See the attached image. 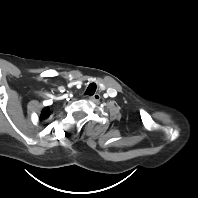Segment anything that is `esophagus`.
Returning a JSON list of instances; mask_svg holds the SVG:
<instances>
[{
    "label": "esophagus",
    "mask_w": 198,
    "mask_h": 198,
    "mask_svg": "<svg viewBox=\"0 0 198 198\" xmlns=\"http://www.w3.org/2000/svg\"><path fill=\"white\" fill-rule=\"evenodd\" d=\"M100 98H101V96L98 93H96L90 97V100L97 103V102H99Z\"/></svg>",
    "instance_id": "1"
}]
</instances>
